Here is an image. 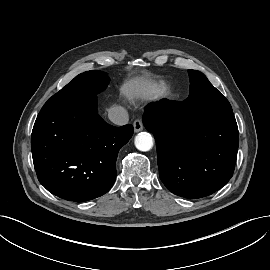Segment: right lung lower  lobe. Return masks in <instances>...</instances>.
<instances>
[{"instance_id":"1","label":"right lung lower lobe","mask_w":270,"mask_h":270,"mask_svg":"<svg viewBox=\"0 0 270 270\" xmlns=\"http://www.w3.org/2000/svg\"><path fill=\"white\" fill-rule=\"evenodd\" d=\"M133 127H114L97 112L95 98L41 109L31 135L39 182L65 200L84 202L102 196L116 179L120 148Z\"/></svg>"}]
</instances>
